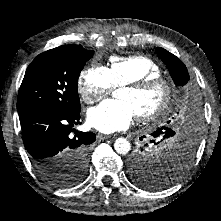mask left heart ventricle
I'll use <instances>...</instances> for the list:
<instances>
[{
	"label": "left heart ventricle",
	"mask_w": 221,
	"mask_h": 221,
	"mask_svg": "<svg viewBox=\"0 0 221 221\" xmlns=\"http://www.w3.org/2000/svg\"><path fill=\"white\" fill-rule=\"evenodd\" d=\"M164 97L165 92L161 86L151 88L141 93L125 88L120 89L118 92V98L129 103L135 115L154 111L162 104Z\"/></svg>",
	"instance_id": "b2bd125f"
}]
</instances>
